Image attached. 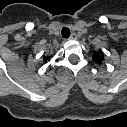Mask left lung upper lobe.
Segmentation results:
<instances>
[{
  "instance_id": "obj_1",
  "label": "left lung upper lobe",
  "mask_w": 127,
  "mask_h": 127,
  "mask_svg": "<svg viewBox=\"0 0 127 127\" xmlns=\"http://www.w3.org/2000/svg\"><path fill=\"white\" fill-rule=\"evenodd\" d=\"M93 60L96 61L97 63H101L102 60L104 59V55L102 54L101 51L95 52L93 55Z\"/></svg>"
}]
</instances>
